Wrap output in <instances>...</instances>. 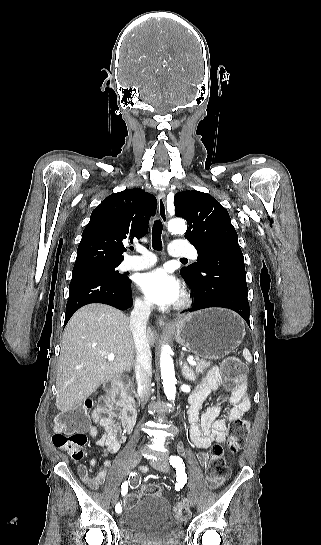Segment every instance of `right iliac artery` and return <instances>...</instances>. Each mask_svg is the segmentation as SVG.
<instances>
[{
    "label": "right iliac artery",
    "instance_id": "obj_1",
    "mask_svg": "<svg viewBox=\"0 0 321 545\" xmlns=\"http://www.w3.org/2000/svg\"><path fill=\"white\" fill-rule=\"evenodd\" d=\"M127 491H128V482L125 481V482L122 483V485H121V494H122V495H125V494L127 493ZM121 510H122L121 506H120L119 504H117L116 507H115V511H116L117 513H120Z\"/></svg>",
    "mask_w": 321,
    "mask_h": 545
}]
</instances>
